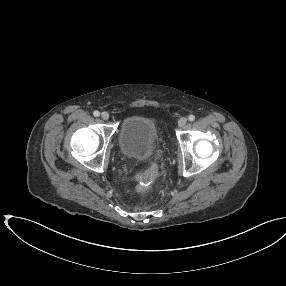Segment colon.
<instances>
[{"label": "colon", "mask_w": 286, "mask_h": 286, "mask_svg": "<svg viewBox=\"0 0 286 286\" xmlns=\"http://www.w3.org/2000/svg\"><path fill=\"white\" fill-rule=\"evenodd\" d=\"M159 173V166L154 162L148 169L135 175V180L138 183L139 189H144L147 186L151 185Z\"/></svg>", "instance_id": "obj_1"}]
</instances>
